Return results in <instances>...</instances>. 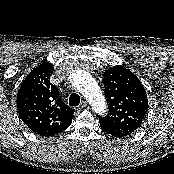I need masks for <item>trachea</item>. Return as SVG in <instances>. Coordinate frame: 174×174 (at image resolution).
<instances>
[{
    "instance_id": "1",
    "label": "trachea",
    "mask_w": 174,
    "mask_h": 174,
    "mask_svg": "<svg viewBox=\"0 0 174 174\" xmlns=\"http://www.w3.org/2000/svg\"><path fill=\"white\" fill-rule=\"evenodd\" d=\"M80 103V96L77 93H72L69 97L70 106H78Z\"/></svg>"
}]
</instances>
